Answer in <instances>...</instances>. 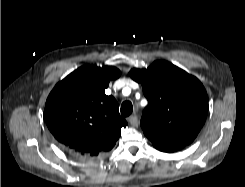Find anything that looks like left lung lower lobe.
Masks as SVG:
<instances>
[{
	"instance_id": "obj_1",
	"label": "left lung lower lobe",
	"mask_w": 245,
	"mask_h": 187,
	"mask_svg": "<svg viewBox=\"0 0 245 187\" xmlns=\"http://www.w3.org/2000/svg\"><path fill=\"white\" fill-rule=\"evenodd\" d=\"M184 147L185 145H173V146H160V147H155V148L162 152L171 153V152L178 151Z\"/></svg>"
}]
</instances>
